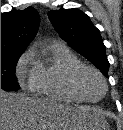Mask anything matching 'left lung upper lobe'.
<instances>
[{
	"instance_id": "1",
	"label": "left lung upper lobe",
	"mask_w": 123,
	"mask_h": 130,
	"mask_svg": "<svg viewBox=\"0 0 123 130\" xmlns=\"http://www.w3.org/2000/svg\"><path fill=\"white\" fill-rule=\"evenodd\" d=\"M48 17L60 37L108 77L109 62L99 30L78 9L51 10Z\"/></svg>"
}]
</instances>
